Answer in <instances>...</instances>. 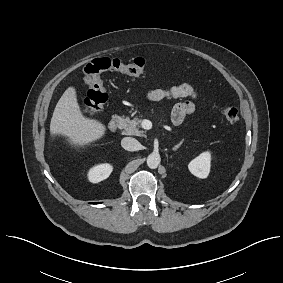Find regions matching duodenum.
I'll return each mask as SVG.
<instances>
[{"label":"duodenum","mask_w":283,"mask_h":283,"mask_svg":"<svg viewBox=\"0 0 283 283\" xmlns=\"http://www.w3.org/2000/svg\"><path fill=\"white\" fill-rule=\"evenodd\" d=\"M122 125V120L119 115H115L109 122L108 129L111 133H116L119 131Z\"/></svg>","instance_id":"1"}]
</instances>
